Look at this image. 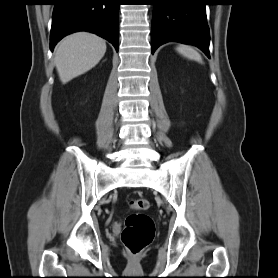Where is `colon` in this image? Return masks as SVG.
Here are the masks:
<instances>
[{
  "instance_id": "colon-1",
  "label": "colon",
  "mask_w": 278,
  "mask_h": 278,
  "mask_svg": "<svg viewBox=\"0 0 278 278\" xmlns=\"http://www.w3.org/2000/svg\"><path fill=\"white\" fill-rule=\"evenodd\" d=\"M130 207L136 211H144L149 208V201L144 198L133 199ZM155 226L153 220L144 213H132L125 221L121 239L132 255L142 252L154 239Z\"/></svg>"
}]
</instances>
